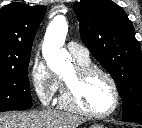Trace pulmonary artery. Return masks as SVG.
<instances>
[{"label":"pulmonary artery","mask_w":142,"mask_h":128,"mask_svg":"<svg viewBox=\"0 0 142 128\" xmlns=\"http://www.w3.org/2000/svg\"><path fill=\"white\" fill-rule=\"evenodd\" d=\"M67 50L72 55V57L78 61L90 60L88 49L76 42H68Z\"/></svg>","instance_id":"e3ab8cb5"}]
</instances>
